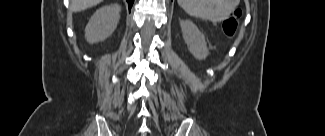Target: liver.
I'll return each mask as SVG.
<instances>
[{
	"label": "liver",
	"mask_w": 325,
	"mask_h": 136,
	"mask_svg": "<svg viewBox=\"0 0 325 136\" xmlns=\"http://www.w3.org/2000/svg\"><path fill=\"white\" fill-rule=\"evenodd\" d=\"M102 0H71L70 9L73 12L83 11L99 4Z\"/></svg>",
	"instance_id": "obj_1"
}]
</instances>
